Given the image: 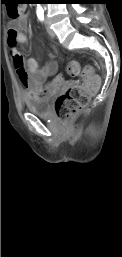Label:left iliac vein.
Returning <instances> with one entry per match:
<instances>
[{
    "mask_svg": "<svg viewBox=\"0 0 122 257\" xmlns=\"http://www.w3.org/2000/svg\"><path fill=\"white\" fill-rule=\"evenodd\" d=\"M45 23H46V26H47V33H48V35H49L51 38H54V37H55V33H54V31L51 29L49 20H48L47 18H46V20H45Z\"/></svg>",
    "mask_w": 122,
    "mask_h": 257,
    "instance_id": "obj_1",
    "label": "left iliac vein"
}]
</instances>
